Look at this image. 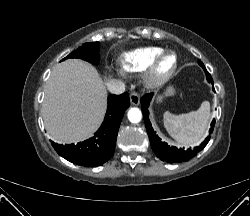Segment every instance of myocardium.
I'll list each match as a JSON object with an SVG mask.
<instances>
[{
	"mask_svg": "<svg viewBox=\"0 0 250 216\" xmlns=\"http://www.w3.org/2000/svg\"><path fill=\"white\" fill-rule=\"evenodd\" d=\"M171 56L174 59L173 66L166 73H159L158 68L161 61ZM178 68V57L173 51H163L153 58L144 72V82L150 89H159L163 87L175 74Z\"/></svg>",
	"mask_w": 250,
	"mask_h": 216,
	"instance_id": "obj_1",
	"label": "myocardium"
}]
</instances>
